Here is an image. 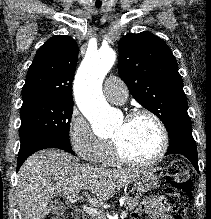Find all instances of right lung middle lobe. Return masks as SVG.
I'll return each instance as SVG.
<instances>
[{
    "instance_id": "obj_1",
    "label": "right lung middle lobe",
    "mask_w": 211,
    "mask_h": 219,
    "mask_svg": "<svg viewBox=\"0 0 211 219\" xmlns=\"http://www.w3.org/2000/svg\"><path fill=\"white\" fill-rule=\"evenodd\" d=\"M72 113L73 102L46 98L23 101L20 110V148L42 139L70 145L69 127Z\"/></svg>"
}]
</instances>
